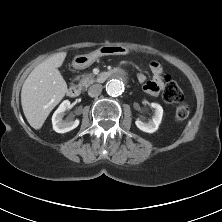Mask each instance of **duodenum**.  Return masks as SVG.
Returning a JSON list of instances; mask_svg holds the SVG:
<instances>
[{
    "instance_id": "1",
    "label": "duodenum",
    "mask_w": 222,
    "mask_h": 222,
    "mask_svg": "<svg viewBox=\"0 0 222 222\" xmlns=\"http://www.w3.org/2000/svg\"><path fill=\"white\" fill-rule=\"evenodd\" d=\"M111 76H112V73L103 72L98 75V80L100 82H103V81L107 80L108 78H110ZM67 93L70 97L76 98L80 94V89L77 86H70L67 90Z\"/></svg>"
}]
</instances>
